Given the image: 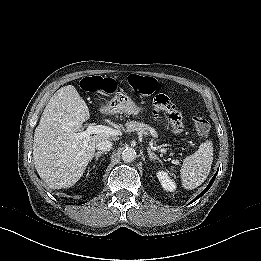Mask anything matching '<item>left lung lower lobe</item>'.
<instances>
[{"label": "left lung lower lobe", "instance_id": "left-lung-lower-lobe-1", "mask_svg": "<svg viewBox=\"0 0 261 261\" xmlns=\"http://www.w3.org/2000/svg\"><path fill=\"white\" fill-rule=\"evenodd\" d=\"M216 175H217V174L214 175V177H213L212 180L210 181V183H209V185L207 186V188H206L201 194H199V195L194 199V201H195L196 199H198L199 197L203 196V195L208 191V189L211 187L212 183L214 182V179H215Z\"/></svg>", "mask_w": 261, "mask_h": 261}]
</instances>
